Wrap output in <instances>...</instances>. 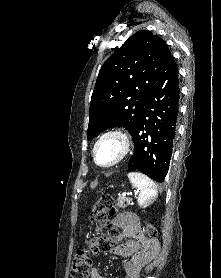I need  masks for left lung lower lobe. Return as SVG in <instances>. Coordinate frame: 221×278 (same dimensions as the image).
<instances>
[{
  "mask_svg": "<svg viewBox=\"0 0 221 278\" xmlns=\"http://www.w3.org/2000/svg\"><path fill=\"white\" fill-rule=\"evenodd\" d=\"M178 68L172 57L149 92L143 113L133 131L134 153L128 169L139 170L163 182L169 170L179 112Z\"/></svg>",
  "mask_w": 221,
  "mask_h": 278,
  "instance_id": "obj_1",
  "label": "left lung lower lobe"
}]
</instances>
